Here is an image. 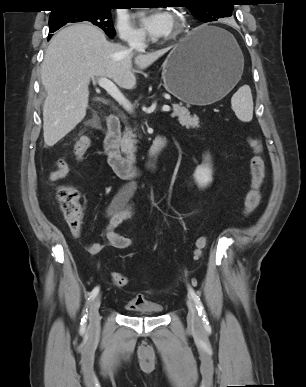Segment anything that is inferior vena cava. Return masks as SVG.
Masks as SVG:
<instances>
[{
	"instance_id": "1",
	"label": "inferior vena cava",
	"mask_w": 306,
	"mask_h": 387,
	"mask_svg": "<svg viewBox=\"0 0 306 387\" xmlns=\"http://www.w3.org/2000/svg\"><path fill=\"white\" fill-rule=\"evenodd\" d=\"M129 46L130 49L133 50H138V51H143L146 48V44L142 39L134 38L129 41Z\"/></svg>"
}]
</instances>
